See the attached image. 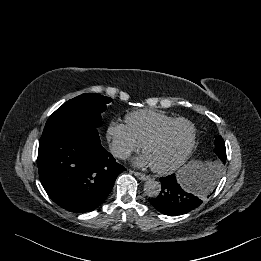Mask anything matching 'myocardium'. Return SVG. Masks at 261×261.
<instances>
[{
	"label": "myocardium",
	"mask_w": 261,
	"mask_h": 261,
	"mask_svg": "<svg viewBox=\"0 0 261 261\" xmlns=\"http://www.w3.org/2000/svg\"><path fill=\"white\" fill-rule=\"evenodd\" d=\"M186 123L191 127V131H192V135H191V140L190 143L185 151V153L182 155V157L177 160L175 163L169 165V166H165V167H157V166H153L151 165V168L154 172L159 173V174H169L172 173L173 171L177 170L179 167H181L191 156L195 144H196V139H197V129L195 124L187 119V118H183V117H179V118H174L170 121H167L165 123H163L161 126H159L153 133H151L142 143V149L145 152L146 148L148 147V145H150L151 143L157 141L162 135L163 133L172 125L176 124V123Z\"/></svg>",
	"instance_id": "obj_1"
}]
</instances>
